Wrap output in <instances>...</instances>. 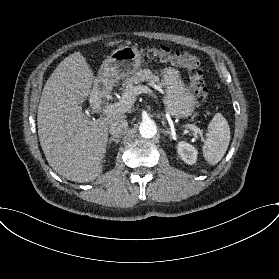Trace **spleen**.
<instances>
[{
    "label": "spleen",
    "instance_id": "spleen-1",
    "mask_svg": "<svg viewBox=\"0 0 279 279\" xmlns=\"http://www.w3.org/2000/svg\"><path fill=\"white\" fill-rule=\"evenodd\" d=\"M230 142L228 122L221 114H216L207 127V138L203 145V156L211 166L224 157Z\"/></svg>",
    "mask_w": 279,
    "mask_h": 279
}]
</instances>
